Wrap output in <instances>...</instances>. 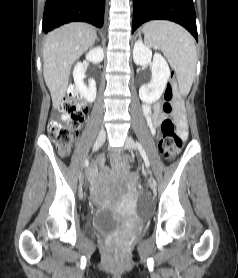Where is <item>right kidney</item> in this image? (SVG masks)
<instances>
[{
    "instance_id": "obj_1",
    "label": "right kidney",
    "mask_w": 238,
    "mask_h": 278,
    "mask_svg": "<svg viewBox=\"0 0 238 278\" xmlns=\"http://www.w3.org/2000/svg\"><path fill=\"white\" fill-rule=\"evenodd\" d=\"M104 57L103 49L96 47L91 49L86 54V59L89 62L98 64L102 62ZM86 68L81 62H78L73 70L74 83L79 90L80 94L88 101L94 102L96 98V82L94 79H90L88 85L84 84Z\"/></svg>"
}]
</instances>
